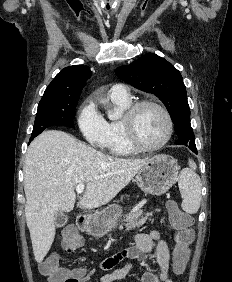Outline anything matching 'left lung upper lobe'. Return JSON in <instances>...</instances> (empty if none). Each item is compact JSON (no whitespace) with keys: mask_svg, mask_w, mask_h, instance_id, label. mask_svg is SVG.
I'll list each match as a JSON object with an SVG mask.
<instances>
[{"mask_svg":"<svg viewBox=\"0 0 232 282\" xmlns=\"http://www.w3.org/2000/svg\"><path fill=\"white\" fill-rule=\"evenodd\" d=\"M116 75L133 87L157 96L166 106L179 136L178 142L195 145L186 87L180 72L154 53L116 69Z\"/></svg>","mask_w":232,"mask_h":282,"instance_id":"1","label":"left lung upper lobe"}]
</instances>
